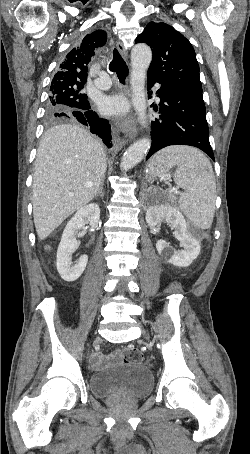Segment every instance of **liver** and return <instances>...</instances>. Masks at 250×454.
<instances>
[{
  "mask_svg": "<svg viewBox=\"0 0 250 454\" xmlns=\"http://www.w3.org/2000/svg\"><path fill=\"white\" fill-rule=\"evenodd\" d=\"M107 169L103 146L77 125L51 127L40 141L33 174V218L40 240L97 194Z\"/></svg>",
  "mask_w": 250,
  "mask_h": 454,
  "instance_id": "liver-1",
  "label": "liver"
}]
</instances>
